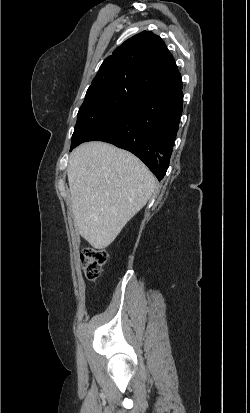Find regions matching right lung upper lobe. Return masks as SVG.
<instances>
[{
	"label": "right lung upper lobe",
	"instance_id": "obj_1",
	"mask_svg": "<svg viewBox=\"0 0 250 413\" xmlns=\"http://www.w3.org/2000/svg\"><path fill=\"white\" fill-rule=\"evenodd\" d=\"M182 85L173 56L162 39L143 31L116 48L89 88L121 86L146 94Z\"/></svg>",
	"mask_w": 250,
	"mask_h": 413
}]
</instances>
